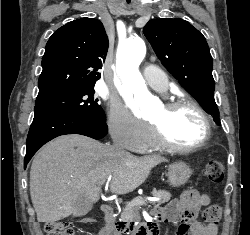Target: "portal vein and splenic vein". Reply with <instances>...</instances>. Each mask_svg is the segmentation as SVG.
<instances>
[{"mask_svg":"<svg viewBox=\"0 0 250 235\" xmlns=\"http://www.w3.org/2000/svg\"><path fill=\"white\" fill-rule=\"evenodd\" d=\"M153 201H159V198L153 199ZM141 202L146 204V201H141Z\"/></svg>","mask_w":250,"mask_h":235,"instance_id":"1","label":"portal vein and splenic vein"}]
</instances>
